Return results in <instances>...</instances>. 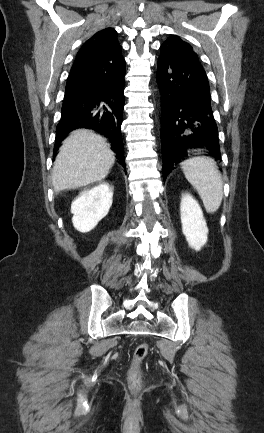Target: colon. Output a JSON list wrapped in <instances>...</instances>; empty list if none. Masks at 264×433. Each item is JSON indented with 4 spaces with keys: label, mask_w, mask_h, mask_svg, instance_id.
<instances>
[{
    "label": "colon",
    "mask_w": 264,
    "mask_h": 433,
    "mask_svg": "<svg viewBox=\"0 0 264 433\" xmlns=\"http://www.w3.org/2000/svg\"><path fill=\"white\" fill-rule=\"evenodd\" d=\"M149 352V346L146 343L139 344L132 355L128 379L133 387H138L142 379L141 365Z\"/></svg>",
    "instance_id": "1"
}]
</instances>
